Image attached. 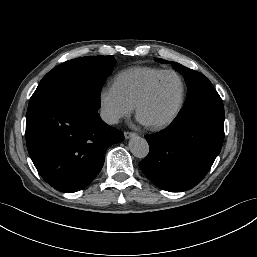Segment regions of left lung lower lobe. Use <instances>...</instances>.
<instances>
[{
  "label": "left lung lower lobe",
  "instance_id": "obj_1",
  "mask_svg": "<svg viewBox=\"0 0 257 257\" xmlns=\"http://www.w3.org/2000/svg\"><path fill=\"white\" fill-rule=\"evenodd\" d=\"M145 138L150 151L139 163L142 172L163 190H188L203 179L222 148L223 102L181 112L167 129Z\"/></svg>",
  "mask_w": 257,
  "mask_h": 257
}]
</instances>
